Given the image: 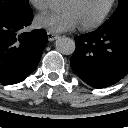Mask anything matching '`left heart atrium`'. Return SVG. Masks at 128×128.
<instances>
[{"mask_svg": "<svg viewBox=\"0 0 128 128\" xmlns=\"http://www.w3.org/2000/svg\"><path fill=\"white\" fill-rule=\"evenodd\" d=\"M38 28L46 29L50 32H65L75 29L79 22L71 11L61 13H44L35 19Z\"/></svg>", "mask_w": 128, "mask_h": 128, "instance_id": "obj_1", "label": "left heart atrium"}]
</instances>
